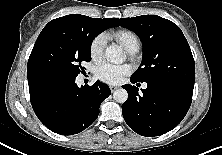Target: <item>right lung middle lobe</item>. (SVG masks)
Masks as SVG:
<instances>
[{
	"mask_svg": "<svg viewBox=\"0 0 222 155\" xmlns=\"http://www.w3.org/2000/svg\"><path fill=\"white\" fill-rule=\"evenodd\" d=\"M108 28L91 17L54 19L39 34L27 68L50 81L76 78L91 60L93 39Z\"/></svg>",
	"mask_w": 222,
	"mask_h": 155,
	"instance_id": "right-lung-middle-lobe-1",
	"label": "right lung middle lobe"
}]
</instances>
